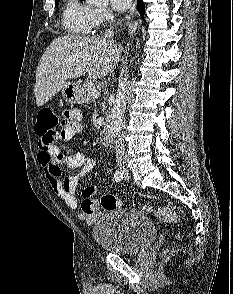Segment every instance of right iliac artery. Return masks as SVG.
<instances>
[{"mask_svg": "<svg viewBox=\"0 0 233 294\" xmlns=\"http://www.w3.org/2000/svg\"><path fill=\"white\" fill-rule=\"evenodd\" d=\"M114 178L116 182H121L124 179L123 172L117 170L114 174Z\"/></svg>", "mask_w": 233, "mask_h": 294, "instance_id": "82829eb1", "label": "right iliac artery"}]
</instances>
